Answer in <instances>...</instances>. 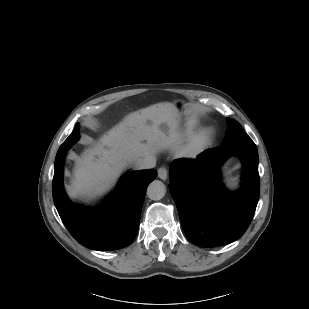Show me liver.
I'll return each instance as SVG.
<instances>
[{"label": "liver", "mask_w": 309, "mask_h": 309, "mask_svg": "<svg viewBox=\"0 0 309 309\" xmlns=\"http://www.w3.org/2000/svg\"><path fill=\"white\" fill-rule=\"evenodd\" d=\"M179 114L174 105L158 103L127 115L75 157L74 178L67 187L70 197H92L110 188L127 162L154 157L177 138ZM146 141V142H144Z\"/></svg>", "instance_id": "obj_1"}]
</instances>
